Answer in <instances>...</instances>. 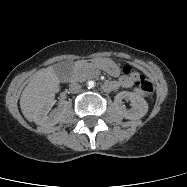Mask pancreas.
I'll return each mask as SVG.
<instances>
[{
	"mask_svg": "<svg viewBox=\"0 0 187 187\" xmlns=\"http://www.w3.org/2000/svg\"><path fill=\"white\" fill-rule=\"evenodd\" d=\"M96 71L94 68L86 65L81 68H78L74 72V77L78 81H86L88 79L96 78Z\"/></svg>",
	"mask_w": 187,
	"mask_h": 187,
	"instance_id": "pancreas-1",
	"label": "pancreas"
}]
</instances>
